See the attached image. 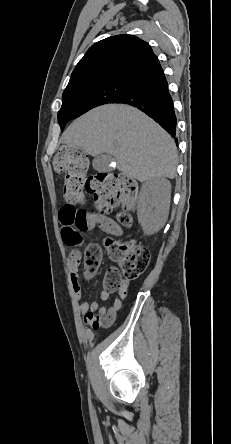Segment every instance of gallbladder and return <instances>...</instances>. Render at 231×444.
<instances>
[{"label":"gallbladder","mask_w":231,"mask_h":444,"mask_svg":"<svg viewBox=\"0 0 231 444\" xmlns=\"http://www.w3.org/2000/svg\"><path fill=\"white\" fill-rule=\"evenodd\" d=\"M111 157L109 155L100 154L93 160V167L99 172L110 171L112 168L109 166Z\"/></svg>","instance_id":"bac80fb5"}]
</instances>
